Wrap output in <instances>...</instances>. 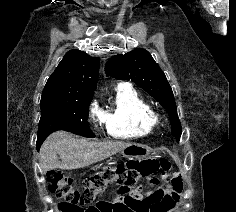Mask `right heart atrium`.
Instances as JSON below:
<instances>
[{"mask_svg": "<svg viewBox=\"0 0 236 212\" xmlns=\"http://www.w3.org/2000/svg\"><path fill=\"white\" fill-rule=\"evenodd\" d=\"M90 116L94 118L99 123L103 122V115L102 112L99 110L96 103H93L90 107Z\"/></svg>", "mask_w": 236, "mask_h": 212, "instance_id": "right-heart-atrium-1", "label": "right heart atrium"}]
</instances>
